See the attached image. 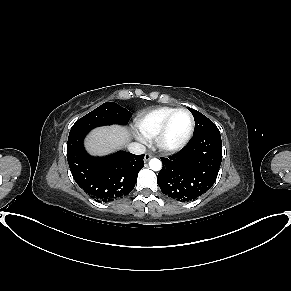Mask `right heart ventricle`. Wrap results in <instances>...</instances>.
Wrapping results in <instances>:
<instances>
[{
  "label": "right heart ventricle",
  "mask_w": 291,
  "mask_h": 291,
  "mask_svg": "<svg viewBox=\"0 0 291 291\" xmlns=\"http://www.w3.org/2000/svg\"><path fill=\"white\" fill-rule=\"evenodd\" d=\"M176 108L159 107L141 115L137 120V127L141 134L148 139L155 138L165 119Z\"/></svg>",
  "instance_id": "right-heart-ventricle-1"
}]
</instances>
